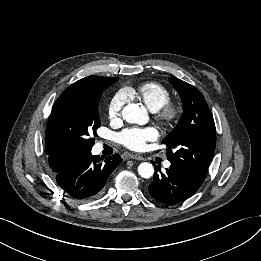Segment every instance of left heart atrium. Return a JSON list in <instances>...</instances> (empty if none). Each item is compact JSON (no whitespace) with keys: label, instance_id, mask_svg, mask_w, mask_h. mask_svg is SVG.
<instances>
[{"label":"left heart atrium","instance_id":"1","mask_svg":"<svg viewBox=\"0 0 261 261\" xmlns=\"http://www.w3.org/2000/svg\"><path fill=\"white\" fill-rule=\"evenodd\" d=\"M159 133L154 127H130L118 134L119 142L128 149L142 150L147 142L158 138Z\"/></svg>","mask_w":261,"mask_h":261}]
</instances>
